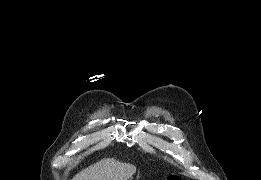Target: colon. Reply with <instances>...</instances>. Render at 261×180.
<instances>
[{"mask_svg": "<svg viewBox=\"0 0 261 180\" xmlns=\"http://www.w3.org/2000/svg\"><path fill=\"white\" fill-rule=\"evenodd\" d=\"M169 179H170V180H177L178 178H177V176L173 175V176H171Z\"/></svg>", "mask_w": 261, "mask_h": 180, "instance_id": "5ec220e1", "label": "colon"}]
</instances>
